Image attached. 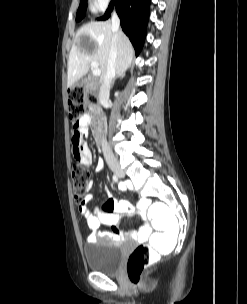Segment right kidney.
I'll list each match as a JSON object with an SVG mask.
<instances>
[{
    "instance_id": "1",
    "label": "right kidney",
    "mask_w": 247,
    "mask_h": 304,
    "mask_svg": "<svg viewBox=\"0 0 247 304\" xmlns=\"http://www.w3.org/2000/svg\"><path fill=\"white\" fill-rule=\"evenodd\" d=\"M117 95H118V93L116 92V93H115V96H117Z\"/></svg>"
}]
</instances>
